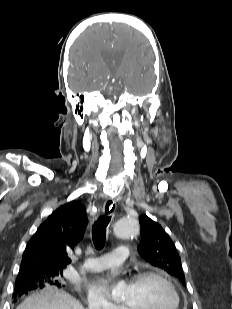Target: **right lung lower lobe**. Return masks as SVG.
<instances>
[{"instance_id":"1","label":"right lung lower lobe","mask_w":232,"mask_h":309,"mask_svg":"<svg viewBox=\"0 0 232 309\" xmlns=\"http://www.w3.org/2000/svg\"><path fill=\"white\" fill-rule=\"evenodd\" d=\"M37 288L41 287H39L38 282L36 280H32L27 284L16 286L14 289L13 297L16 299Z\"/></svg>"}]
</instances>
